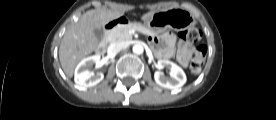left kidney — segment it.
I'll return each mask as SVG.
<instances>
[{
    "label": "left kidney",
    "instance_id": "obj_1",
    "mask_svg": "<svg viewBox=\"0 0 276 120\" xmlns=\"http://www.w3.org/2000/svg\"><path fill=\"white\" fill-rule=\"evenodd\" d=\"M158 66L160 69L167 68L170 70V78L165 77L163 72L156 71L154 73L155 82L164 88L178 90L186 83V75L181 67L169 60H159Z\"/></svg>",
    "mask_w": 276,
    "mask_h": 120
}]
</instances>
